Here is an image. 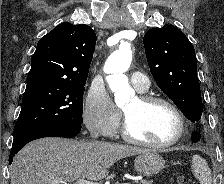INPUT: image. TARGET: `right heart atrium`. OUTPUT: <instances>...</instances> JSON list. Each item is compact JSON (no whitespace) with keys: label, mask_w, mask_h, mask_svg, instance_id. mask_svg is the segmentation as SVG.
I'll list each match as a JSON object with an SVG mask.
<instances>
[{"label":"right heart atrium","mask_w":224,"mask_h":184,"mask_svg":"<svg viewBox=\"0 0 224 184\" xmlns=\"http://www.w3.org/2000/svg\"><path fill=\"white\" fill-rule=\"evenodd\" d=\"M83 121L86 127L103 136L113 135L121 121V113L103 87L92 86L87 94Z\"/></svg>","instance_id":"d8ad5b80"}]
</instances>
